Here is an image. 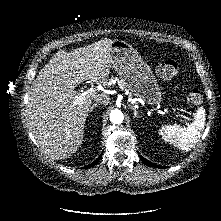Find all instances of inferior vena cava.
Segmentation results:
<instances>
[{
	"label": "inferior vena cava",
	"mask_w": 221,
	"mask_h": 221,
	"mask_svg": "<svg viewBox=\"0 0 221 221\" xmlns=\"http://www.w3.org/2000/svg\"><path fill=\"white\" fill-rule=\"evenodd\" d=\"M94 100L97 103L103 104V105H108L110 98L107 95L104 94H97L94 97Z\"/></svg>",
	"instance_id": "602c4592"
}]
</instances>
